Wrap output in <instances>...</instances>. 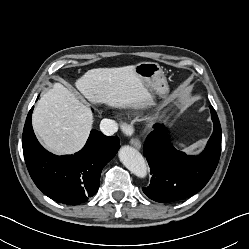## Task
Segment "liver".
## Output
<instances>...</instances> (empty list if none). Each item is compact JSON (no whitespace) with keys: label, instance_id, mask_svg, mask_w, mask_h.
<instances>
[{"label":"liver","instance_id":"obj_1","mask_svg":"<svg viewBox=\"0 0 249 249\" xmlns=\"http://www.w3.org/2000/svg\"><path fill=\"white\" fill-rule=\"evenodd\" d=\"M75 86L91 102L114 108H143L151 100L133 66L89 70ZM92 123L91 110L60 83L40 98L32 116L35 133L50 151L61 155L84 146Z\"/></svg>","mask_w":249,"mask_h":249}]
</instances>
